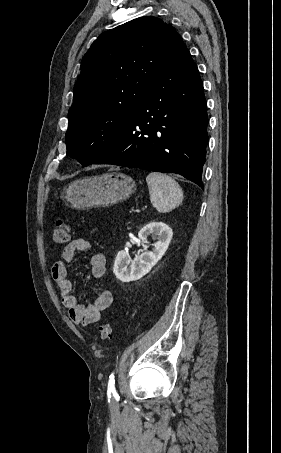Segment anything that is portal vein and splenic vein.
I'll return each mask as SVG.
<instances>
[{"mask_svg": "<svg viewBox=\"0 0 281 453\" xmlns=\"http://www.w3.org/2000/svg\"><path fill=\"white\" fill-rule=\"evenodd\" d=\"M131 210H132V211H131ZM131 210L129 211L130 213H131V212H134V213H135V212H136V213L138 212V213H140L141 211H144V210L146 211L147 209H146V208H145V209H144V208H140V209L138 210L137 207L134 206V207H132ZM137 210H138V211H137Z\"/></svg>", "mask_w": 281, "mask_h": 453, "instance_id": "18ae733b", "label": "portal vein and splenic vein"}]
</instances>
